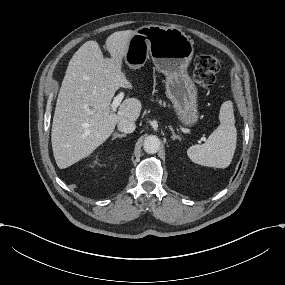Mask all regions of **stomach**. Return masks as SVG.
I'll use <instances>...</instances> for the list:
<instances>
[{"label":"stomach","instance_id":"obj_1","mask_svg":"<svg viewBox=\"0 0 285 285\" xmlns=\"http://www.w3.org/2000/svg\"><path fill=\"white\" fill-rule=\"evenodd\" d=\"M193 53V41L180 29L147 25L135 30L124 56L131 69H139L152 58L155 67L166 76V95L179 121L188 126L199 117L197 88L187 74Z\"/></svg>","mask_w":285,"mask_h":285}]
</instances>
